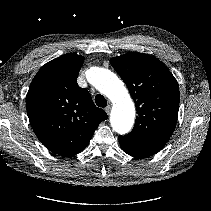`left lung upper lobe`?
I'll use <instances>...</instances> for the list:
<instances>
[{
	"instance_id": "left-lung-upper-lobe-1",
	"label": "left lung upper lobe",
	"mask_w": 211,
	"mask_h": 211,
	"mask_svg": "<svg viewBox=\"0 0 211 211\" xmlns=\"http://www.w3.org/2000/svg\"><path fill=\"white\" fill-rule=\"evenodd\" d=\"M134 99L138 116L128 136L167 140L178 116L179 87L169 69L147 54L130 52L110 60Z\"/></svg>"
}]
</instances>
